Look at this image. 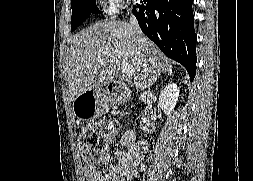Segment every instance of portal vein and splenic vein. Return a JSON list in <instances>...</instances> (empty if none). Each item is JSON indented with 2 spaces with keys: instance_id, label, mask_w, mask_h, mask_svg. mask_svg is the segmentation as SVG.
I'll use <instances>...</instances> for the list:
<instances>
[{
  "instance_id": "obj_1",
  "label": "portal vein and splenic vein",
  "mask_w": 253,
  "mask_h": 181,
  "mask_svg": "<svg viewBox=\"0 0 253 181\" xmlns=\"http://www.w3.org/2000/svg\"><path fill=\"white\" fill-rule=\"evenodd\" d=\"M121 68H122L125 75H127L129 77L133 76L134 67L130 63L122 61L121 62Z\"/></svg>"
}]
</instances>
